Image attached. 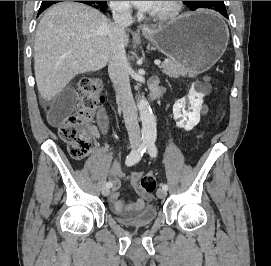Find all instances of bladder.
Segmentation results:
<instances>
[{"instance_id": "31cf9c89", "label": "bladder", "mask_w": 271, "mask_h": 266, "mask_svg": "<svg viewBox=\"0 0 271 266\" xmlns=\"http://www.w3.org/2000/svg\"><path fill=\"white\" fill-rule=\"evenodd\" d=\"M157 209L153 205H148L137 211L134 215L129 217L117 216L116 219L119 223L127 226L143 227L149 226L157 217Z\"/></svg>"}]
</instances>
